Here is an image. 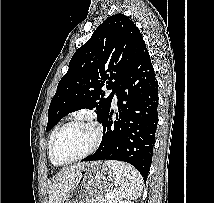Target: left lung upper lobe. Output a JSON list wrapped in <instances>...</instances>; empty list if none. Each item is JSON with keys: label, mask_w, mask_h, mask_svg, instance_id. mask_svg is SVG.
I'll list each match as a JSON object with an SVG mask.
<instances>
[{"label": "left lung upper lobe", "mask_w": 214, "mask_h": 203, "mask_svg": "<svg viewBox=\"0 0 214 203\" xmlns=\"http://www.w3.org/2000/svg\"><path fill=\"white\" fill-rule=\"evenodd\" d=\"M142 34L125 15L108 17L73 55L48 110L46 131L75 110L94 109L101 121L122 79L142 51ZM112 89L110 95L102 87Z\"/></svg>", "instance_id": "obj_1"}]
</instances>
